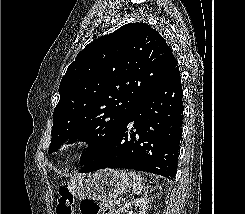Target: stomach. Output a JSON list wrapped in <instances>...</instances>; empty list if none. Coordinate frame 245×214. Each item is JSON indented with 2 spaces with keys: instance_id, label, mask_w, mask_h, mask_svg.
<instances>
[{
  "instance_id": "obj_1",
  "label": "stomach",
  "mask_w": 245,
  "mask_h": 214,
  "mask_svg": "<svg viewBox=\"0 0 245 214\" xmlns=\"http://www.w3.org/2000/svg\"><path fill=\"white\" fill-rule=\"evenodd\" d=\"M131 184L125 171L103 169L95 173L77 175L68 188L80 200L93 199L109 203L121 195Z\"/></svg>"
}]
</instances>
